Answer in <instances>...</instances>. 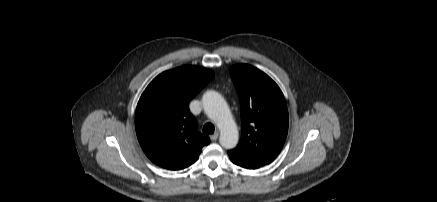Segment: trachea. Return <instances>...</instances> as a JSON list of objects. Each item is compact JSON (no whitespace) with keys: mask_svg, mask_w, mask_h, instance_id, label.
Here are the masks:
<instances>
[{"mask_svg":"<svg viewBox=\"0 0 437 202\" xmlns=\"http://www.w3.org/2000/svg\"><path fill=\"white\" fill-rule=\"evenodd\" d=\"M214 130H215V128H214V125H213L212 123H206V124L203 126V132H204L205 134H213V133H214Z\"/></svg>","mask_w":437,"mask_h":202,"instance_id":"trachea-1","label":"trachea"}]
</instances>
